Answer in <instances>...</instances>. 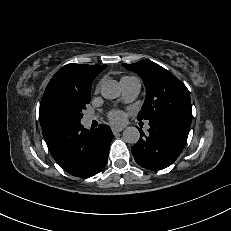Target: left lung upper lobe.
I'll return each instance as SVG.
<instances>
[{"label":"left lung upper lobe","instance_id":"obj_1","mask_svg":"<svg viewBox=\"0 0 231 231\" xmlns=\"http://www.w3.org/2000/svg\"><path fill=\"white\" fill-rule=\"evenodd\" d=\"M122 65L137 73L146 88V99L137 116L138 120H151L156 116L192 120L189 91L171 72L149 60Z\"/></svg>","mask_w":231,"mask_h":231}]
</instances>
